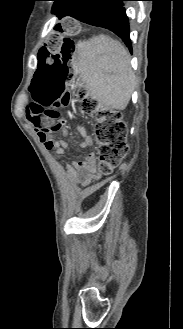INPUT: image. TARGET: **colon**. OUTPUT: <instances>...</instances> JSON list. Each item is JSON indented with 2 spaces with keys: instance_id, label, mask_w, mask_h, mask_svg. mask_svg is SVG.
<instances>
[{
  "instance_id": "colon-1",
  "label": "colon",
  "mask_w": 183,
  "mask_h": 329,
  "mask_svg": "<svg viewBox=\"0 0 183 329\" xmlns=\"http://www.w3.org/2000/svg\"><path fill=\"white\" fill-rule=\"evenodd\" d=\"M53 31H47L48 41L41 47L36 56L37 73L34 74L30 86L28 114L42 117L46 127L43 133L57 132L58 127L49 123L57 115L59 107L68 103L71 94L66 90L64 80L68 74V62L74 53L75 44H94V37H75L79 32L76 19H59V25H53ZM82 101V110L94 113L96 101L87 98L83 90L78 92ZM94 134L99 146L98 171L107 175L117 167L127 156V127L121 114L115 110L96 112Z\"/></svg>"
}]
</instances>
